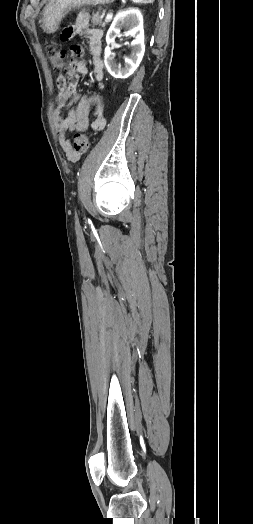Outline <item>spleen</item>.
Returning a JSON list of instances; mask_svg holds the SVG:
<instances>
[{"mask_svg":"<svg viewBox=\"0 0 253 524\" xmlns=\"http://www.w3.org/2000/svg\"><path fill=\"white\" fill-rule=\"evenodd\" d=\"M132 2L134 3H143V4H148V3H153L154 0H131Z\"/></svg>","mask_w":253,"mask_h":524,"instance_id":"obj_1","label":"spleen"}]
</instances>
